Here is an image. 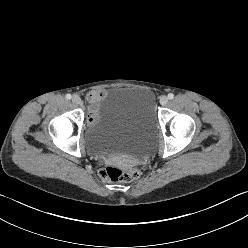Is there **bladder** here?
<instances>
[{"label":"bladder","instance_id":"bladder-1","mask_svg":"<svg viewBox=\"0 0 248 248\" xmlns=\"http://www.w3.org/2000/svg\"><path fill=\"white\" fill-rule=\"evenodd\" d=\"M156 128L152 93L119 88L100 103L89 144L98 153L141 157L153 150Z\"/></svg>","mask_w":248,"mask_h":248}]
</instances>
